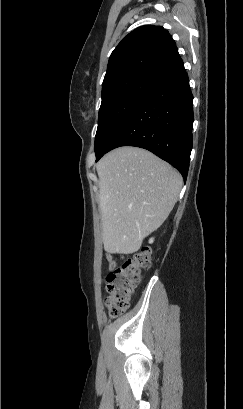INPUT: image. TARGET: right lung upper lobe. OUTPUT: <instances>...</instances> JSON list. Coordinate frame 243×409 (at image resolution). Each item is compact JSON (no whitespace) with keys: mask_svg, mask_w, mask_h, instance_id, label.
<instances>
[{"mask_svg":"<svg viewBox=\"0 0 243 409\" xmlns=\"http://www.w3.org/2000/svg\"><path fill=\"white\" fill-rule=\"evenodd\" d=\"M182 62L171 35L161 26H141L110 55L102 93L113 83L135 76L161 80Z\"/></svg>","mask_w":243,"mask_h":409,"instance_id":"cb5924a9","label":"right lung upper lobe"}]
</instances>
